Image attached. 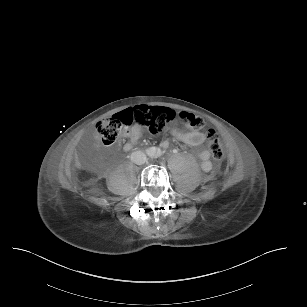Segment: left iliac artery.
I'll use <instances>...</instances> for the list:
<instances>
[{
	"mask_svg": "<svg viewBox=\"0 0 307 307\" xmlns=\"http://www.w3.org/2000/svg\"><path fill=\"white\" fill-rule=\"evenodd\" d=\"M151 155H152L153 157H158V156H159V153L156 152V151H154V152L151 153Z\"/></svg>",
	"mask_w": 307,
	"mask_h": 307,
	"instance_id": "left-iliac-artery-1",
	"label": "left iliac artery"
}]
</instances>
